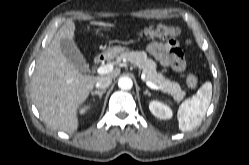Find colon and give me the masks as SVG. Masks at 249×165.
I'll list each match as a JSON object with an SVG mask.
<instances>
[{"mask_svg":"<svg viewBox=\"0 0 249 165\" xmlns=\"http://www.w3.org/2000/svg\"><path fill=\"white\" fill-rule=\"evenodd\" d=\"M140 36L148 38V39H154V38H166L171 37L177 38L180 37L181 31L176 26H167L164 24H159L157 26H150L147 28H144L140 31ZM187 84L190 88H195L198 84L197 77L194 74H189L187 76Z\"/></svg>","mask_w":249,"mask_h":165,"instance_id":"obj_1","label":"colon"}]
</instances>
